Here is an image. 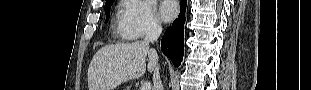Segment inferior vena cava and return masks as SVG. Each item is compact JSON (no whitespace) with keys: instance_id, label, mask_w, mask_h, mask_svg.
Instances as JSON below:
<instances>
[{"instance_id":"1","label":"inferior vena cava","mask_w":311,"mask_h":90,"mask_svg":"<svg viewBox=\"0 0 311 90\" xmlns=\"http://www.w3.org/2000/svg\"><path fill=\"white\" fill-rule=\"evenodd\" d=\"M162 32V27L160 24L153 22L149 25V27L146 30V36H145V41H143V48H145L147 51V61L146 64L150 66V68L153 70V83L155 90H163L162 82L160 80V74H159V68L155 64L154 61V53L151 50L152 49V43L155 42L160 34ZM151 50V51H150Z\"/></svg>"}]
</instances>
